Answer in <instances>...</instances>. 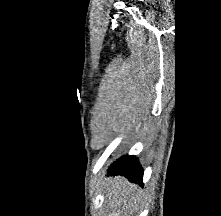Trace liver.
Returning <instances> with one entry per match:
<instances>
[{"label": "liver", "mask_w": 221, "mask_h": 216, "mask_svg": "<svg viewBox=\"0 0 221 216\" xmlns=\"http://www.w3.org/2000/svg\"><path fill=\"white\" fill-rule=\"evenodd\" d=\"M105 198L109 202L111 209L119 210L123 216H128L132 210L138 209L141 200L140 192L136 185L131 184L124 177L116 176L107 178L103 189Z\"/></svg>", "instance_id": "obj_1"}]
</instances>
